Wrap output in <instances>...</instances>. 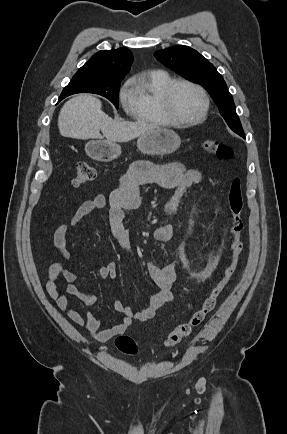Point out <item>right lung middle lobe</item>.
I'll return each mask as SVG.
<instances>
[{"instance_id": "obj_1", "label": "right lung middle lobe", "mask_w": 287, "mask_h": 434, "mask_svg": "<svg viewBox=\"0 0 287 434\" xmlns=\"http://www.w3.org/2000/svg\"><path fill=\"white\" fill-rule=\"evenodd\" d=\"M122 79L87 77L75 74L69 84L63 89L59 101L76 93H94L110 100L116 108L119 105V88Z\"/></svg>"}]
</instances>
